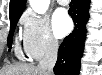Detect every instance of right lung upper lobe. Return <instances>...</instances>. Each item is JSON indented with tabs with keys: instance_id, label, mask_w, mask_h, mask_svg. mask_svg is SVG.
Instances as JSON below:
<instances>
[{
	"instance_id": "right-lung-upper-lobe-1",
	"label": "right lung upper lobe",
	"mask_w": 102,
	"mask_h": 75,
	"mask_svg": "<svg viewBox=\"0 0 102 75\" xmlns=\"http://www.w3.org/2000/svg\"><path fill=\"white\" fill-rule=\"evenodd\" d=\"M26 0H10V17L22 14Z\"/></svg>"
}]
</instances>
